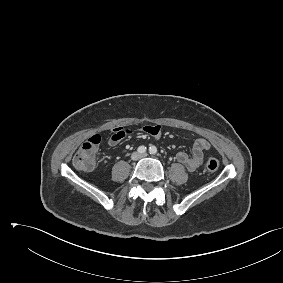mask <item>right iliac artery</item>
<instances>
[{
  "instance_id": "obj_1",
  "label": "right iliac artery",
  "mask_w": 283,
  "mask_h": 283,
  "mask_svg": "<svg viewBox=\"0 0 283 283\" xmlns=\"http://www.w3.org/2000/svg\"><path fill=\"white\" fill-rule=\"evenodd\" d=\"M138 152L139 153H145L146 152V147L145 146L138 147Z\"/></svg>"
}]
</instances>
